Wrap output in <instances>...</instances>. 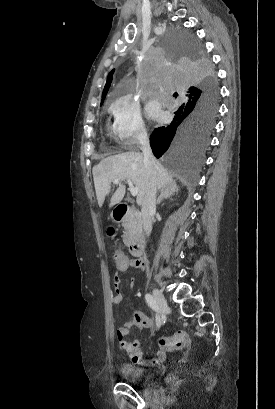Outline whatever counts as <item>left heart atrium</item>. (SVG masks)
Instances as JSON below:
<instances>
[{
  "mask_svg": "<svg viewBox=\"0 0 275 409\" xmlns=\"http://www.w3.org/2000/svg\"><path fill=\"white\" fill-rule=\"evenodd\" d=\"M148 110H149V113H150L151 115H153V116H158V115H159V112H158V110L155 108V106H150V107L148 108Z\"/></svg>",
  "mask_w": 275,
  "mask_h": 409,
  "instance_id": "obj_1",
  "label": "left heart atrium"
}]
</instances>
